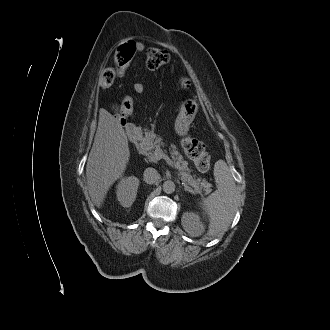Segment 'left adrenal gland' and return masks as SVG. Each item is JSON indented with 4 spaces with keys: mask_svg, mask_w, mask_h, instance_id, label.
Segmentation results:
<instances>
[{
    "mask_svg": "<svg viewBox=\"0 0 330 330\" xmlns=\"http://www.w3.org/2000/svg\"><path fill=\"white\" fill-rule=\"evenodd\" d=\"M184 190H185V191H188V192H190V193H193L192 190H190V188L185 187Z\"/></svg>",
    "mask_w": 330,
    "mask_h": 330,
    "instance_id": "1",
    "label": "left adrenal gland"
}]
</instances>
